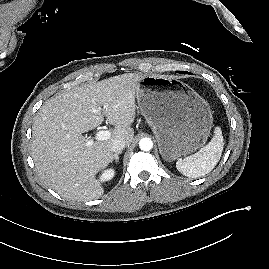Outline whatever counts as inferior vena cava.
<instances>
[{
  "label": "inferior vena cava",
  "mask_w": 269,
  "mask_h": 269,
  "mask_svg": "<svg viewBox=\"0 0 269 269\" xmlns=\"http://www.w3.org/2000/svg\"><path fill=\"white\" fill-rule=\"evenodd\" d=\"M125 145L126 143L123 140L120 139L114 140L111 144V150L117 153L119 151H122L125 148Z\"/></svg>",
  "instance_id": "inferior-vena-cava-1"
}]
</instances>
